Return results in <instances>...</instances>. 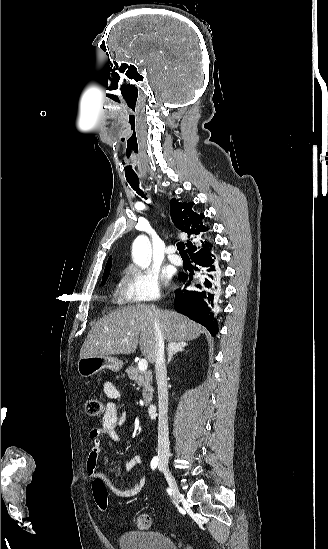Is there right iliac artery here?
I'll return each mask as SVG.
<instances>
[{
  "label": "right iliac artery",
  "mask_w": 328,
  "mask_h": 549,
  "mask_svg": "<svg viewBox=\"0 0 328 549\" xmlns=\"http://www.w3.org/2000/svg\"><path fill=\"white\" fill-rule=\"evenodd\" d=\"M158 461H159L158 457H154V458L152 459V461H151V468H152V469H155V468L157 467Z\"/></svg>",
  "instance_id": "82829eb1"
}]
</instances>
